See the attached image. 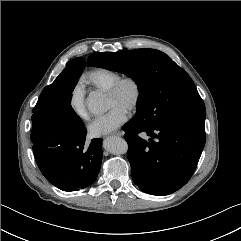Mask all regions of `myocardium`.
<instances>
[{
  "instance_id": "1",
  "label": "myocardium",
  "mask_w": 241,
  "mask_h": 241,
  "mask_svg": "<svg viewBox=\"0 0 241 241\" xmlns=\"http://www.w3.org/2000/svg\"><path fill=\"white\" fill-rule=\"evenodd\" d=\"M126 83L132 84V86L134 88V98H133L131 105L129 106V108L127 110L129 112H133L139 107L141 100H142V95H143L142 84L137 77H135L133 75H125V76L119 77L107 89L106 93H107V95L115 96L119 93L121 87Z\"/></svg>"
}]
</instances>
